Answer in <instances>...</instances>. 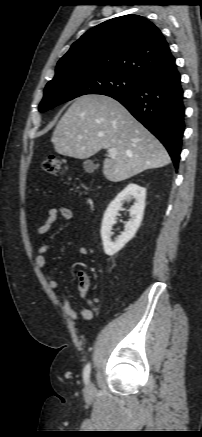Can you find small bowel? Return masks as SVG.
Segmentation results:
<instances>
[{"label":"small bowel","instance_id":"small-bowel-1","mask_svg":"<svg viewBox=\"0 0 202 437\" xmlns=\"http://www.w3.org/2000/svg\"><path fill=\"white\" fill-rule=\"evenodd\" d=\"M61 216L65 220H71L74 216L73 211L68 207H52L48 211V215L45 221L39 225L35 232L34 237H40L46 234L52 226L57 221L58 217ZM50 246L47 243H42L36 250L35 255V265L39 269H43L46 265V253L49 251ZM79 252L82 255L87 254L88 250L84 245H81L79 248ZM46 281L49 288L58 296L62 303V308L64 313L71 319L75 321L77 319V313L74 310L71 301L68 296L61 289L58 288V282L51 276H46ZM78 289L80 292L81 298L85 301L87 307L81 309L80 314L84 320H90L93 317V314L97 311L95 306V302L93 299L87 298L86 294L89 289V279L86 275H79V284Z\"/></svg>","mask_w":202,"mask_h":437}]
</instances>
